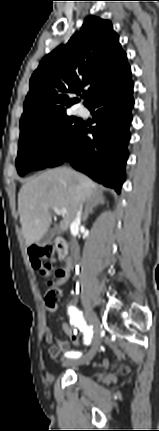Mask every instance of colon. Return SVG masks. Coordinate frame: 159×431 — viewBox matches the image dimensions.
<instances>
[{"mask_svg": "<svg viewBox=\"0 0 159 431\" xmlns=\"http://www.w3.org/2000/svg\"><path fill=\"white\" fill-rule=\"evenodd\" d=\"M54 260V252L50 247L34 248L31 251V261L35 269L39 271L41 275H48L52 269V265L49 261ZM61 298L59 289L52 285L46 293L45 302L47 305V313L52 314L56 312V305ZM65 338H69L71 345L75 349H80V335L76 333L75 329L67 322L64 321L61 324Z\"/></svg>", "mask_w": 159, "mask_h": 431, "instance_id": "obj_1", "label": "colon"}]
</instances>
